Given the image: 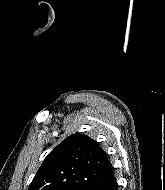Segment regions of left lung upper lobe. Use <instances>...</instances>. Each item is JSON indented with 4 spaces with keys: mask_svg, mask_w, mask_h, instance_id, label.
Wrapping results in <instances>:
<instances>
[{
    "mask_svg": "<svg viewBox=\"0 0 165 190\" xmlns=\"http://www.w3.org/2000/svg\"><path fill=\"white\" fill-rule=\"evenodd\" d=\"M112 171L96 141L72 134L47 155L28 190H97Z\"/></svg>",
    "mask_w": 165,
    "mask_h": 190,
    "instance_id": "5c2ea615",
    "label": "left lung upper lobe"
}]
</instances>
